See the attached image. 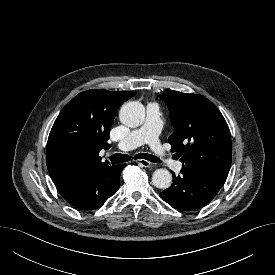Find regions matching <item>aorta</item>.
<instances>
[{
	"mask_svg": "<svg viewBox=\"0 0 275 275\" xmlns=\"http://www.w3.org/2000/svg\"><path fill=\"white\" fill-rule=\"evenodd\" d=\"M119 118L128 127H138L144 122L145 108L140 102H128L121 107ZM152 183L159 189H167L171 186L172 175L166 169H157L152 175Z\"/></svg>",
	"mask_w": 275,
	"mask_h": 275,
	"instance_id": "762f6f07",
	"label": "aorta"
}]
</instances>
